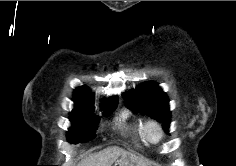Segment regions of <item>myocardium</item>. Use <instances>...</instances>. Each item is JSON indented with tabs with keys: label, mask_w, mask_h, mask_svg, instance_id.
I'll use <instances>...</instances> for the list:
<instances>
[{
	"label": "myocardium",
	"mask_w": 236,
	"mask_h": 166,
	"mask_svg": "<svg viewBox=\"0 0 236 166\" xmlns=\"http://www.w3.org/2000/svg\"><path fill=\"white\" fill-rule=\"evenodd\" d=\"M145 140L151 144L158 143L163 137L162 125L155 119L147 120L143 125Z\"/></svg>",
	"instance_id": "f54148a6"
}]
</instances>
